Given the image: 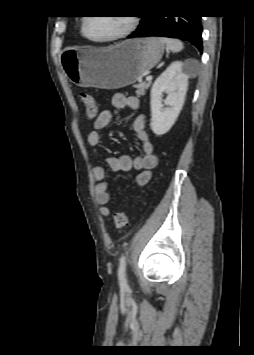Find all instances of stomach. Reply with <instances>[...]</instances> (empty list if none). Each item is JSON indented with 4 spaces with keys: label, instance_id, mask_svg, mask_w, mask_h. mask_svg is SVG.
<instances>
[{
    "label": "stomach",
    "instance_id": "obj_1",
    "mask_svg": "<svg viewBox=\"0 0 254 355\" xmlns=\"http://www.w3.org/2000/svg\"><path fill=\"white\" fill-rule=\"evenodd\" d=\"M164 48L161 38H136L106 48H65L60 62L68 79L78 86L118 89L153 68Z\"/></svg>",
    "mask_w": 254,
    "mask_h": 355
}]
</instances>
